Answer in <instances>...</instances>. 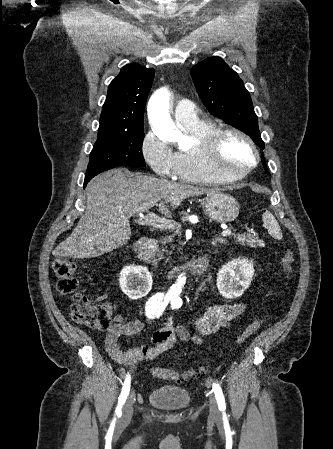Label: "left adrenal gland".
Returning <instances> with one entry per match:
<instances>
[{
    "instance_id": "left-adrenal-gland-1",
    "label": "left adrenal gland",
    "mask_w": 333,
    "mask_h": 449,
    "mask_svg": "<svg viewBox=\"0 0 333 449\" xmlns=\"http://www.w3.org/2000/svg\"><path fill=\"white\" fill-rule=\"evenodd\" d=\"M214 245H216L217 243H225V239H223V238H220V237H217V238H215L214 240H213V242H212Z\"/></svg>"
}]
</instances>
